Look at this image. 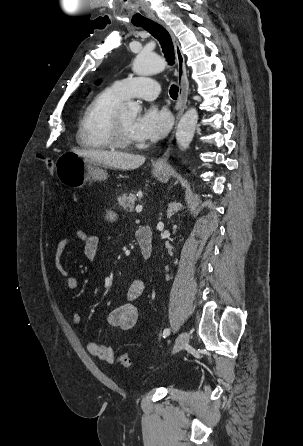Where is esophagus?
Segmentation results:
<instances>
[{
  "label": "esophagus",
  "instance_id": "1",
  "mask_svg": "<svg viewBox=\"0 0 303 446\" xmlns=\"http://www.w3.org/2000/svg\"><path fill=\"white\" fill-rule=\"evenodd\" d=\"M154 21L167 30V32L170 34V37H171L172 42L174 44V49H175V54H176V61H177L176 76H177V81H178V85H179L178 112H177V115H176V122H175V125H176V123L178 122V120L180 119L182 114L184 113V110H185L186 104H187V99H188L189 83H188V78H187V73H186L185 57H184V54L182 52L180 43H179L177 37L174 35L173 31L170 29V27L167 26L163 21H161L158 18H154ZM173 136H174V132L172 133V135H171V137H170V139L168 141L167 149L154 162L155 166H157V167H166L168 159H169V156H170L171 144H172Z\"/></svg>",
  "mask_w": 303,
  "mask_h": 446
}]
</instances>
